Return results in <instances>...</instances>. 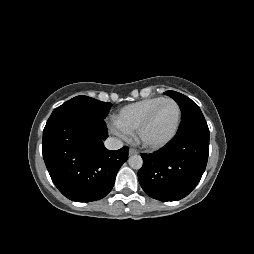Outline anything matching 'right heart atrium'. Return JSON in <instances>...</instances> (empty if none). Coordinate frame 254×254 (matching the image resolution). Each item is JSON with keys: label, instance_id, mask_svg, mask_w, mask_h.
I'll return each mask as SVG.
<instances>
[{"label": "right heart atrium", "instance_id": "obj_1", "mask_svg": "<svg viewBox=\"0 0 254 254\" xmlns=\"http://www.w3.org/2000/svg\"><path fill=\"white\" fill-rule=\"evenodd\" d=\"M110 131L122 139H129L131 132L122 127L115 119L109 123Z\"/></svg>", "mask_w": 254, "mask_h": 254}]
</instances>
